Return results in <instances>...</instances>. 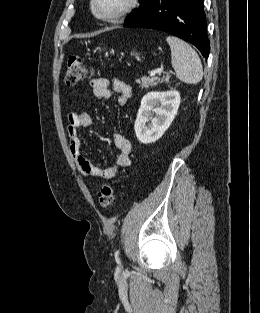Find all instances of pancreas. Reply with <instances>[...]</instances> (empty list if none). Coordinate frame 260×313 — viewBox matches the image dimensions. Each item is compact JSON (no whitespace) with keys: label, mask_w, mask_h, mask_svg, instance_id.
Masks as SVG:
<instances>
[{"label":"pancreas","mask_w":260,"mask_h":313,"mask_svg":"<svg viewBox=\"0 0 260 313\" xmlns=\"http://www.w3.org/2000/svg\"><path fill=\"white\" fill-rule=\"evenodd\" d=\"M169 81V77H142L141 79H137L136 82L139 84V87L142 89H148L150 86H156L158 83H167Z\"/></svg>","instance_id":"cf45deb5"}]
</instances>
